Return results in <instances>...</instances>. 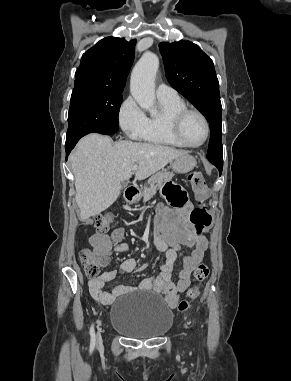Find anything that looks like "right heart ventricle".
<instances>
[{
	"mask_svg": "<svg viewBox=\"0 0 291 381\" xmlns=\"http://www.w3.org/2000/svg\"><path fill=\"white\" fill-rule=\"evenodd\" d=\"M159 112L146 117L140 139L154 145L184 148L171 132L170 119L178 111L187 108L179 96L175 98H158Z\"/></svg>",
	"mask_w": 291,
	"mask_h": 381,
	"instance_id": "1",
	"label": "right heart ventricle"
}]
</instances>
